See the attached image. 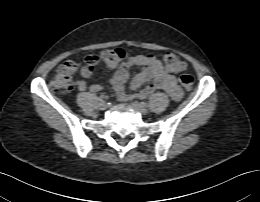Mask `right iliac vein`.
Masks as SVG:
<instances>
[{"instance_id": "obj_1", "label": "right iliac vein", "mask_w": 260, "mask_h": 202, "mask_svg": "<svg viewBox=\"0 0 260 202\" xmlns=\"http://www.w3.org/2000/svg\"><path fill=\"white\" fill-rule=\"evenodd\" d=\"M99 107L101 110H105L107 108V103L105 101H101L99 103Z\"/></svg>"}]
</instances>
